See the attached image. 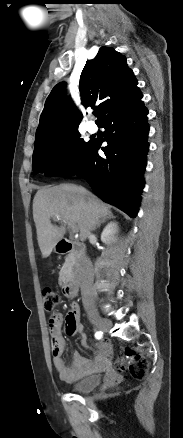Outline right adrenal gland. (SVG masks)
<instances>
[{
    "mask_svg": "<svg viewBox=\"0 0 183 438\" xmlns=\"http://www.w3.org/2000/svg\"><path fill=\"white\" fill-rule=\"evenodd\" d=\"M114 218H115V216H114L112 213H110L107 217L102 218V219L98 222V224H97V226H96L95 229L100 228L101 224H102V223H105L106 220H108V219H114Z\"/></svg>",
    "mask_w": 183,
    "mask_h": 438,
    "instance_id": "right-adrenal-gland-1",
    "label": "right adrenal gland"
}]
</instances>
